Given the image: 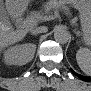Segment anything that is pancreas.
<instances>
[{
    "mask_svg": "<svg viewBox=\"0 0 91 91\" xmlns=\"http://www.w3.org/2000/svg\"><path fill=\"white\" fill-rule=\"evenodd\" d=\"M44 8H45V12L48 13L51 9H56V8L64 9L65 7L59 2L50 1L44 6Z\"/></svg>",
    "mask_w": 91,
    "mask_h": 91,
    "instance_id": "obj_1",
    "label": "pancreas"
}]
</instances>
